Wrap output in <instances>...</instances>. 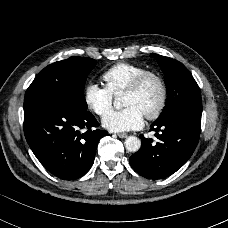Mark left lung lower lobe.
<instances>
[{"label": "left lung lower lobe", "mask_w": 228, "mask_h": 228, "mask_svg": "<svg viewBox=\"0 0 228 228\" xmlns=\"http://www.w3.org/2000/svg\"><path fill=\"white\" fill-rule=\"evenodd\" d=\"M201 113L180 110L151 125L160 140L141 138V148L129 158L131 167L147 179H162L180 169L194 152L200 136ZM160 134L158 131H160Z\"/></svg>", "instance_id": "left-lung-lower-lobe-1"}]
</instances>
